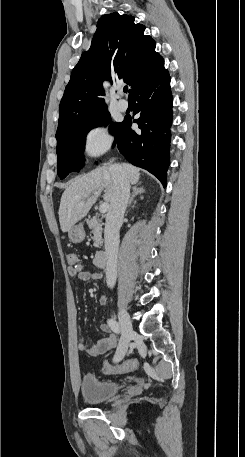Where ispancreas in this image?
I'll return each mask as SVG.
<instances>
[{"instance_id":"obj_1","label":"pancreas","mask_w":245,"mask_h":457,"mask_svg":"<svg viewBox=\"0 0 245 457\" xmlns=\"http://www.w3.org/2000/svg\"><path fill=\"white\" fill-rule=\"evenodd\" d=\"M88 226H90L91 233H93L94 237H92L94 241V247H97V249H100L103 239H102V224L100 220H97L96 216H92V218H89L88 220Z\"/></svg>"}]
</instances>
